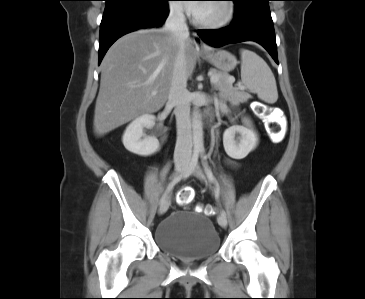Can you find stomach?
Masks as SVG:
<instances>
[{
	"instance_id": "stomach-1",
	"label": "stomach",
	"mask_w": 365,
	"mask_h": 299,
	"mask_svg": "<svg viewBox=\"0 0 365 299\" xmlns=\"http://www.w3.org/2000/svg\"><path fill=\"white\" fill-rule=\"evenodd\" d=\"M203 58L223 73L232 71L237 65L236 57L228 51L205 52Z\"/></svg>"
}]
</instances>
